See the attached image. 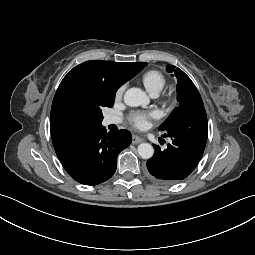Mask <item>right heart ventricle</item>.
I'll use <instances>...</instances> for the list:
<instances>
[{"label":"right heart ventricle","mask_w":255,"mask_h":255,"mask_svg":"<svg viewBox=\"0 0 255 255\" xmlns=\"http://www.w3.org/2000/svg\"><path fill=\"white\" fill-rule=\"evenodd\" d=\"M141 82L146 90L156 95L163 90L166 85V79L164 75L157 70H148L141 76Z\"/></svg>","instance_id":"right-heart-ventricle-1"}]
</instances>
